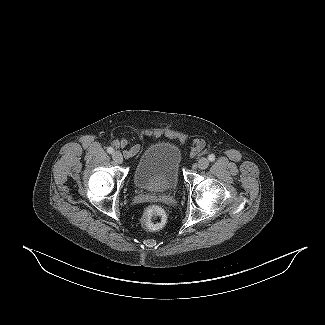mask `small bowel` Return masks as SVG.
Segmentation results:
<instances>
[{
	"label": "small bowel",
	"mask_w": 325,
	"mask_h": 325,
	"mask_svg": "<svg viewBox=\"0 0 325 325\" xmlns=\"http://www.w3.org/2000/svg\"><path fill=\"white\" fill-rule=\"evenodd\" d=\"M116 145H117L118 147L124 149V148L126 147V141L123 140V139H121V140H119V141L116 142ZM136 151H137L136 147H132V148H130V149H128V150H125V151H124V154H125L127 157H129V156L134 155V154L136 153Z\"/></svg>",
	"instance_id": "small-bowel-1"
}]
</instances>
